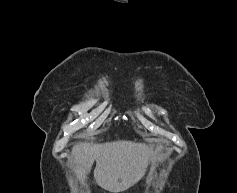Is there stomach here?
I'll use <instances>...</instances> for the list:
<instances>
[{"label":"stomach","instance_id":"obj_1","mask_svg":"<svg viewBox=\"0 0 237 193\" xmlns=\"http://www.w3.org/2000/svg\"><path fill=\"white\" fill-rule=\"evenodd\" d=\"M163 150L169 151V148L164 144H159L155 149V156H159L163 152Z\"/></svg>","mask_w":237,"mask_h":193}]
</instances>
